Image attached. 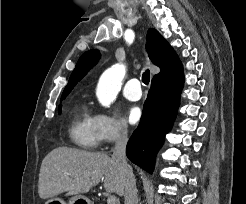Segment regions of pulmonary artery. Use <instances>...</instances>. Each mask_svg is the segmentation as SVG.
<instances>
[{"label":"pulmonary artery","mask_w":246,"mask_h":204,"mask_svg":"<svg viewBox=\"0 0 246 204\" xmlns=\"http://www.w3.org/2000/svg\"><path fill=\"white\" fill-rule=\"evenodd\" d=\"M123 95L131 101L139 100L142 96L140 81L136 78L129 80L123 89Z\"/></svg>","instance_id":"e3ab8cb5"}]
</instances>
